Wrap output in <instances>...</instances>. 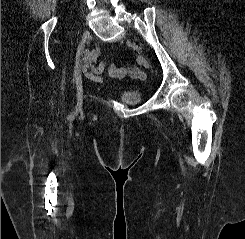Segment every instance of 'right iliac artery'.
I'll list each match as a JSON object with an SVG mask.
<instances>
[{
  "label": "right iliac artery",
  "mask_w": 245,
  "mask_h": 239,
  "mask_svg": "<svg viewBox=\"0 0 245 239\" xmlns=\"http://www.w3.org/2000/svg\"><path fill=\"white\" fill-rule=\"evenodd\" d=\"M83 45L80 43L77 49V54H76V62H75V66H74V79H73V83L76 82V78H77V74L80 68V56L83 50Z\"/></svg>",
  "instance_id": "82829eb1"
}]
</instances>
